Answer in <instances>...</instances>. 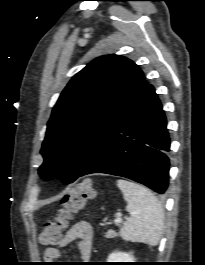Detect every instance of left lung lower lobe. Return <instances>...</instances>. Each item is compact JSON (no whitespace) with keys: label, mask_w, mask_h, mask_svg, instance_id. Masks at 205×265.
Listing matches in <instances>:
<instances>
[{"label":"left lung lower lobe","mask_w":205,"mask_h":265,"mask_svg":"<svg viewBox=\"0 0 205 265\" xmlns=\"http://www.w3.org/2000/svg\"><path fill=\"white\" fill-rule=\"evenodd\" d=\"M170 139L154 87L144 94L78 177L91 173L122 176L157 193L168 187ZM77 177V178H78Z\"/></svg>","instance_id":"left-lung-lower-lobe-1"}]
</instances>
